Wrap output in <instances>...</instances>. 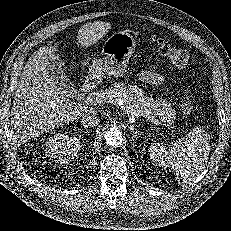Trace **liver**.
<instances>
[{"label": "liver", "mask_w": 231, "mask_h": 231, "mask_svg": "<svg viewBox=\"0 0 231 231\" xmlns=\"http://www.w3.org/2000/svg\"><path fill=\"white\" fill-rule=\"evenodd\" d=\"M111 28L107 22L83 25L77 40L81 46H90L100 40ZM52 47L42 46L27 60L15 92L11 111V139L15 146L38 137L56 127L80 119L94 109L71 102L50 78V62L62 60Z\"/></svg>", "instance_id": "obj_1"}]
</instances>
